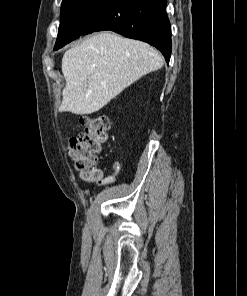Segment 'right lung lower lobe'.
I'll use <instances>...</instances> for the list:
<instances>
[{"label": "right lung lower lobe", "instance_id": "obj_1", "mask_svg": "<svg viewBox=\"0 0 247 296\" xmlns=\"http://www.w3.org/2000/svg\"><path fill=\"white\" fill-rule=\"evenodd\" d=\"M166 4L167 0H107L88 19L82 34L111 30L153 45L169 62L171 26Z\"/></svg>", "mask_w": 247, "mask_h": 296}]
</instances>
